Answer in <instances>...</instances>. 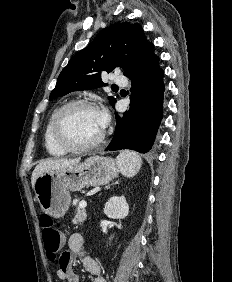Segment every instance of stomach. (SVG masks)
Masks as SVG:
<instances>
[{
    "label": "stomach",
    "mask_w": 232,
    "mask_h": 282,
    "mask_svg": "<svg viewBox=\"0 0 232 282\" xmlns=\"http://www.w3.org/2000/svg\"><path fill=\"white\" fill-rule=\"evenodd\" d=\"M119 171L113 159L91 156L73 167L51 170L39 175L34 185L36 199L43 212L60 218L70 206V191L107 184L117 177Z\"/></svg>",
    "instance_id": "0dacf381"
}]
</instances>
